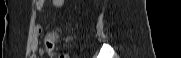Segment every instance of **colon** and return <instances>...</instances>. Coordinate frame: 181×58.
Instances as JSON below:
<instances>
[{"instance_id": "1", "label": "colon", "mask_w": 181, "mask_h": 58, "mask_svg": "<svg viewBox=\"0 0 181 58\" xmlns=\"http://www.w3.org/2000/svg\"><path fill=\"white\" fill-rule=\"evenodd\" d=\"M46 45H47V47H48L49 49H51L52 46H53V40H52V39H47ZM60 58H66V56H65V55H62V56H60Z\"/></svg>"}]
</instances>
